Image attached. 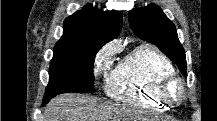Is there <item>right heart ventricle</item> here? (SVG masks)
I'll return each instance as SVG.
<instances>
[{"instance_id": "right-heart-ventricle-1", "label": "right heart ventricle", "mask_w": 217, "mask_h": 121, "mask_svg": "<svg viewBox=\"0 0 217 121\" xmlns=\"http://www.w3.org/2000/svg\"><path fill=\"white\" fill-rule=\"evenodd\" d=\"M172 74L170 60L150 45H140L109 73L107 94L116 101L163 110L171 105L161 92L164 78Z\"/></svg>"}]
</instances>
